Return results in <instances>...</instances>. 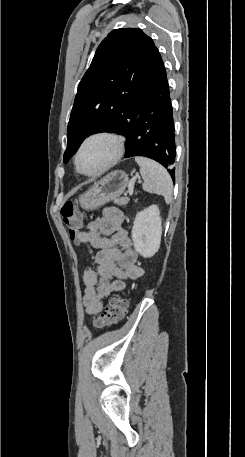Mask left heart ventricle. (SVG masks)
Here are the masks:
<instances>
[{
  "mask_svg": "<svg viewBox=\"0 0 245 457\" xmlns=\"http://www.w3.org/2000/svg\"><path fill=\"white\" fill-rule=\"evenodd\" d=\"M111 141L95 139L88 143L81 156V167L87 172H94L103 167L111 157Z\"/></svg>",
  "mask_w": 245,
  "mask_h": 457,
  "instance_id": "left-heart-ventricle-1",
  "label": "left heart ventricle"
}]
</instances>
